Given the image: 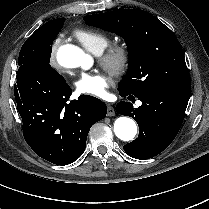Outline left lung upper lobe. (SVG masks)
<instances>
[{
    "instance_id": "left-lung-upper-lobe-1",
    "label": "left lung upper lobe",
    "mask_w": 209,
    "mask_h": 209,
    "mask_svg": "<svg viewBox=\"0 0 209 209\" xmlns=\"http://www.w3.org/2000/svg\"><path fill=\"white\" fill-rule=\"evenodd\" d=\"M89 26L116 33L128 47L129 68L118 85L120 94L138 95L158 86L190 90V75L174 33L150 13L120 9L84 17Z\"/></svg>"
}]
</instances>
